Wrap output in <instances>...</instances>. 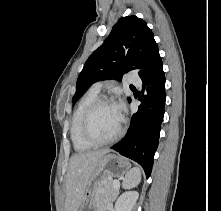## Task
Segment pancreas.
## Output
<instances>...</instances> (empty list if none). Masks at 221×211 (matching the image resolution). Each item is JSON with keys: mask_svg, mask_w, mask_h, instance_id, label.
I'll use <instances>...</instances> for the list:
<instances>
[{"mask_svg": "<svg viewBox=\"0 0 221 211\" xmlns=\"http://www.w3.org/2000/svg\"><path fill=\"white\" fill-rule=\"evenodd\" d=\"M119 194L118 188L113 185V180H105L95 189L94 204L96 211H106L108 205L116 199Z\"/></svg>", "mask_w": 221, "mask_h": 211, "instance_id": "pancreas-1", "label": "pancreas"}]
</instances>
